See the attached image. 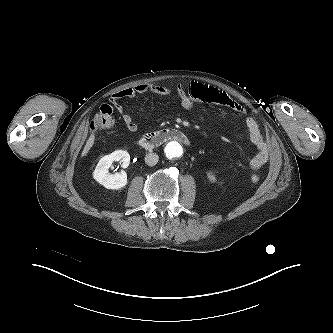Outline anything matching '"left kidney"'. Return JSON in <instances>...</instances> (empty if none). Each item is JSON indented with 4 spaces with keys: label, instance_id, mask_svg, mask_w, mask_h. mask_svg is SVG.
<instances>
[{
    "label": "left kidney",
    "instance_id": "obj_1",
    "mask_svg": "<svg viewBox=\"0 0 333 333\" xmlns=\"http://www.w3.org/2000/svg\"><path fill=\"white\" fill-rule=\"evenodd\" d=\"M207 176L211 182H216V177L212 173H208Z\"/></svg>",
    "mask_w": 333,
    "mask_h": 333
}]
</instances>
